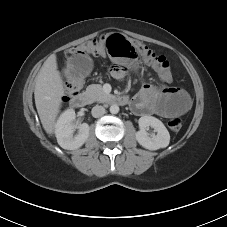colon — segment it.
<instances>
[{"label": "colon", "instance_id": "1", "mask_svg": "<svg viewBox=\"0 0 227 227\" xmlns=\"http://www.w3.org/2000/svg\"><path fill=\"white\" fill-rule=\"evenodd\" d=\"M104 51L115 62H122L126 59L140 56L147 65L151 66L159 74L163 81H172L173 75L170 63L166 57L156 54L143 42L122 34H105L73 46L66 51V59L69 62L70 58L76 53H83L87 56L88 54H101ZM82 85L83 82L73 84L65 79L66 95L78 93ZM168 127L172 131H179L182 128V120L178 117H173L169 119Z\"/></svg>", "mask_w": 227, "mask_h": 227}]
</instances>
